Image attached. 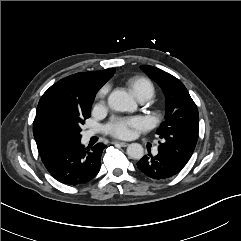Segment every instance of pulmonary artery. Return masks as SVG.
<instances>
[{"label":"pulmonary artery","instance_id":"pulmonary-artery-1","mask_svg":"<svg viewBox=\"0 0 241 241\" xmlns=\"http://www.w3.org/2000/svg\"><path fill=\"white\" fill-rule=\"evenodd\" d=\"M149 98L148 97H143V98H139V101L140 102H145V101H147ZM93 135V132L92 131H87V132H85L84 133V138H89L90 136H92Z\"/></svg>","mask_w":241,"mask_h":241}]
</instances>
